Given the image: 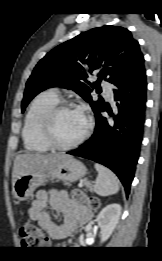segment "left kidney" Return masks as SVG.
Segmentation results:
<instances>
[{
	"instance_id": "obj_1",
	"label": "left kidney",
	"mask_w": 162,
	"mask_h": 261,
	"mask_svg": "<svg viewBox=\"0 0 162 261\" xmlns=\"http://www.w3.org/2000/svg\"><path fill=\"white\" fill-rule=\"evenodd\" d=\"M120 214L121 206L117 203L107 205L98 214L96 221L101 229V243L108 240V238L113 233L115 227L118 224Z\"/></svg>"
}]
</instances>
